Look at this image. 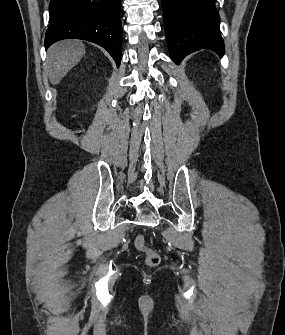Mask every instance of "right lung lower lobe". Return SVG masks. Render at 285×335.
Returning <instances> with one entry per match:
<instances>
[{
    "label": "right lung lower lobe",
    "instance_id": "obj_1",
    "mask_svg": "<svg viewBox=\"0 0 285 335\" xmlns=\"http://www.w3.org/2000/svg\"><path fill=\"white\" fill-rule=\"evenodd\" d=\"M45 48L63 39H82L105 48L120 66V0H50Z\"/></svg>",
    "mask_w": 285,
    "mask_h": 335
}]
</instances>
